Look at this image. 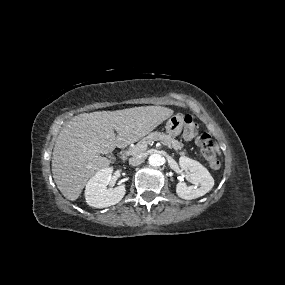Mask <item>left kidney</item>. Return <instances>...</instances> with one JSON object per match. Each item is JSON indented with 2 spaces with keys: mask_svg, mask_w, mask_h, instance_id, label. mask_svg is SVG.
<instances>
[{
  "mask_svg": "<svg viewBox=\"0 0 285 285\" xmlns=\"http://www.w3.org/2000/svg\"><path fill=\"white\" fill-rule=\"evenodd\" d=\"M179 165L195 186H187L183 182L176 185L177 195L186 200L196 199L205 195L214 186V179L209 171L199 162L188 157H180Z\"/></svg>",
  "mask_w": 285,
  "mask_h": 285,
  "instance_id": "5707ae66",
  "label": "left kidney"
}]
</instances>
